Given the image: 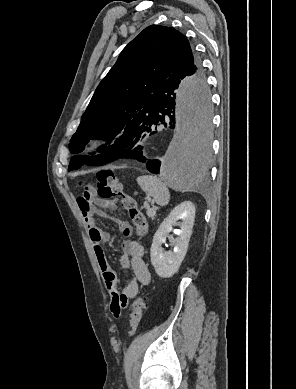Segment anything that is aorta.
Returning a JSON list of instances; mask_svg holds the SVG:
<instances>
[{
  "label": "aorta",
  "instance_id": "1",
  "mask_svg": "<svg viewBox=\"0 0 296 389\" xmlns=\"http://www.w3.org/2000/svg\"><path fill=\"white\" fill-rule=\"evenodd\" d=\"M208 81H178L177 127L163 157L162 175L177 189H196L212 162V93Z\"/></svg>",
  "mask_w": 296,
  "mask_h": 389
}]
</instances>
